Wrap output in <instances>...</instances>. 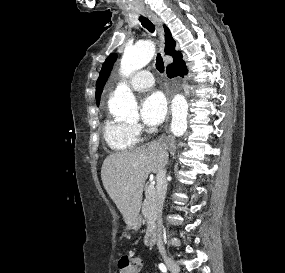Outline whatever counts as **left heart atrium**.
<instances>
[{
	"instance_id": "39dd6f15",
	"label": "left heart atrium",
	"mask_w": 285,
	"mask_h": 273,
	"mask_svg": "<svg viewBox=\"0 0 285 273\" xmlns=\"http://www.w3.org/2000/svg\"><path fill=\"white\" fill-rule=\"evenodd\" d=\"M140 113L146 125L160 124L167 113V101L163 93L154 91L148 94L141 102Z\"/></svg>"
}]
</instances>
